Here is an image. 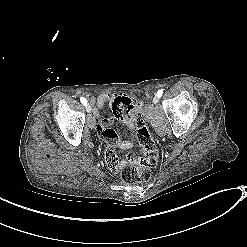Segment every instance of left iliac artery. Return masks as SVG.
Returning a JSON list of instances; mask_svg holds the SVG:
<instances>
[{"label": "left iliac artery", "instance_id": "obj_1", "mask_svg": "<svg viewBox=\"0 0 247 247\" xmlns=\"http://www.w3.org/2000/svg\"><path fill=\"white\" fill-rule=\"evenodd\" d=\"M162 94H163V90L160 89V90L157 91L156 95L160 98L162 96Z\"/></svg>", "mask_w": 247, "mask_h": 247}]
</instances>
